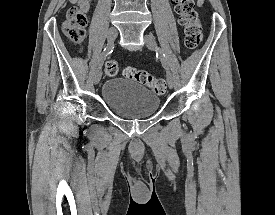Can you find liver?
<instances>
[{"label":"liver","mask_w":275,"mask_h":215,"mask_svg":"<svg viewBox=\"0 0 275 215\" xmlns=\"http://www.w3.org/2000/svg\"><path fill=\"white\" fill-rule=\"evenodd\" d=\"M71 2H76V0H71Z\"/></svg>","instance_id":"liver-1"}]
</instances>
